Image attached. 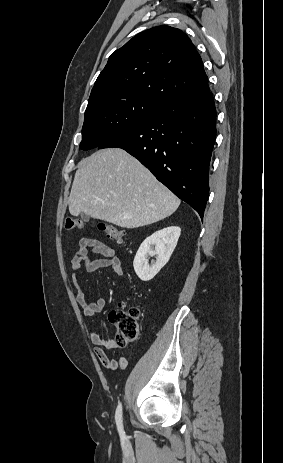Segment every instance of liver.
I'll return each instance as SVG.
<instances>
[{"label": "liver", "mask_w": 283, "mask_h": 463, "mask_svg": "<svg viewBox=\"0 0 283 463\" xmlns=\"http://www.w3.org/2000/svg\"><path fill=\"white\" fill-rule=\"evenodd\" d=\"M69 212L123 228L156 223L173 214L180 199L136 158L119 148L82 159L69 196Z\"/></svg>", "instance_id": "1"}]
</instances>
